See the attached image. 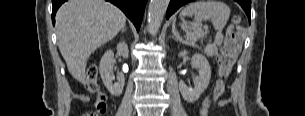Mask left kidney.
<instances>
[{
  "instance_id": "obj_1",
  "label": "left kidney",
  "mask_w": 305,
  "mask_h": 116,
  "mask_svg": "<svg viewBox=\"0 0 305 116\" xmlns=\"http://www.w3.org/2000/svg\"><path fill=\"white\" fill-rule=\"evenodd\" d=\"M187 51H182L179 53V57H185ZM191 64L193 67L199 69V75L195 79V87L189 88L183 81L179 82V90L185 101L193 103L197 101L200 95L208 87L211 78V68L207 58L200 54L195 53L192 56Z\"/></svg>"
}]
</instances>
